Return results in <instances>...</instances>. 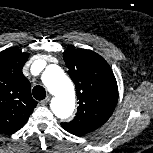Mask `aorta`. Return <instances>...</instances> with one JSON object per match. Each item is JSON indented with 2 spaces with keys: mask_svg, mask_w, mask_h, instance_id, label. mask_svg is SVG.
Instances as JSON below:
<instances>
[{
  "mask_svg": "<svg viewBox=\"0 0 153 153\" xmlns=\"http://www.w3.org/2000/svg\"><path fill=\"white\" fill-rule=\"evenodd\" d=\"M42 82L54 96L51 102L53 113L66 119L75 108V91L71 80L57 65H49L42 74Z\"/></svg>",
  "mask_w": 153,
  "mask_h": 153,
  "instance_id": "obj_1",
  "label": "aorta"
}]
</instances>
